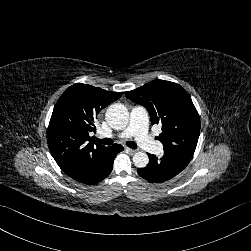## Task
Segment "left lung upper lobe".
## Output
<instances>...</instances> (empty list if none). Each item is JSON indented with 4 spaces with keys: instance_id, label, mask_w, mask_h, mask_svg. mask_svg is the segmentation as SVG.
Segmentation results:
<instances>
[{
    "instance_id": "left-lung-upper-lobe-1",
    "label": "left lung upper lobe",
    "mask_w": 251,
    "mask_h": 251,
    "mask_svg": "<svg viewBox=\"0 0 251 251\" xmlns=\"http://www.w3.org/2000/svg\"><path fill=\"white\" fill-rule=\"evenodd\" d=\"M126 97L144 106L153 124L162 125L158 139L165 152L192 158L200 133V118L183 87L174 82L155 80L126 92Z\"/></svg>"
}]
</instances>
